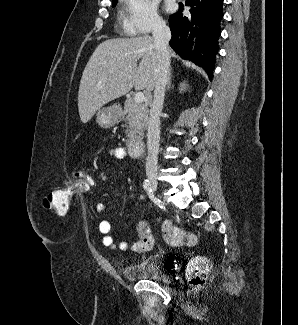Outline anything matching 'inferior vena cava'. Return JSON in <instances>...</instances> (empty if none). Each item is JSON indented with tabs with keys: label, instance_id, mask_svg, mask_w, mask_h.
<instances>
[{
	"label": "inferior vena cava",
	"instance_id": "obj_1",
	"mask_svg": "<svg viewBox=\"0 0 298 325\" xmlns=\"http://www.w3.org/2000/svg\"><path fill=\"white\" fill-rule=\"evenodd\" d=\"M152 36L158 58L157 82L154 88V98L150 108V116L147 130V158L146 177L157 179V163L160 140V112L162 110L165 94V86L168 80L170 66V52L168 42L171 38V30L163 20H153Z\"/></svg>",
	"mask_w": 298,
	"mask_h": 325
}]
</instances>
